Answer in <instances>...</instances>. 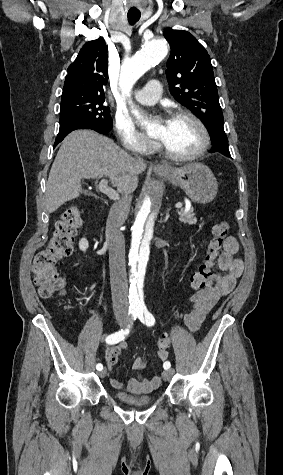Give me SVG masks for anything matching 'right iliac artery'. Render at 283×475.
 <instances>
[{"mask_svg":"<svg viewBox=\"0 0 283 475\" xmlns=\"http://www.w3.org/2000/svg\"><path fill=\"white\" fill-rule=\"evenodd\" d=\"M133 320H136L137 315L135 313H132ZM129 333V329H121L119 332H116L114 334L109 335L106 338V343L108 344H116L122 340H124L125 336ZM96 369L98 371H101L103 369V365L101 363L96 365Z\"/></svg>","mask_w":283,"mask_h":475,"instance_id":"1","label":"right iliac artery"}]
</instances>
